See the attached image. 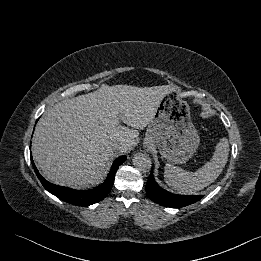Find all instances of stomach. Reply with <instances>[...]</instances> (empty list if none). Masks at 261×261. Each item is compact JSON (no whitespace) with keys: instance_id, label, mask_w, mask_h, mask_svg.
<instances>
[{"instance_id":"obj_1","label":"stomach","mask_w":261,"mask_h":261,"mask_svg":"<svg viewBox=\"0 0 261 261\" xmlns=\"http://www.w3.org/2000/svg\"><path fill=\"white\" fill-rule=\"evenodd\" d=\"M199 142L189 104L179 98L177 90H171L161 98L148 124L144 146H156L164 159L183 164L196 152Z\"/></svg>"}]
</instances>
